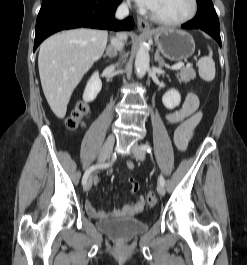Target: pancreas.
I'll use <instances>...</instances> for the list:
<instances>
[{"instance_id":"pancreas-1","label":"pancreas","mask_w":247,"mask_h":265,"mask_svg":"<svg viewBox=\"0 0 247 265\" xmlns=\"http://www.w3.org/2000/svg\"><path fill=\"white\" fill-rule=\"evenodd\" d=\"M177 77L179 79V82L187 83L190 80H193L196 78V72L192 67H184L177 74Z\"/></svg>"}]
</instances>
